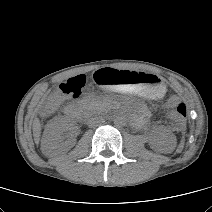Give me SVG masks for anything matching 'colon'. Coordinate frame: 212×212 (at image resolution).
Wrapping results in <instances>:
<instances>
[{
	"instance_id": "1",
	"label": "colon",
	"mask_w": 212,
	"mask_h": 212,
	"mask_svg": "<svg viewBox=\"0 0 212 212\" xmlns=\"http://www.w3.org/2000/svg\"><path fill=\"white\" fill-rule=\"evenodd\" d=\"M87 83L88 77L85 75H77L61 82L51 95L45 107L46 112L49 113L55 110L65 98L79 97ZM165 105L169 109L171 119L178 126H181L188 114L187 105L175 95L169 97Z\"/></svg>"
}]
</instances>
